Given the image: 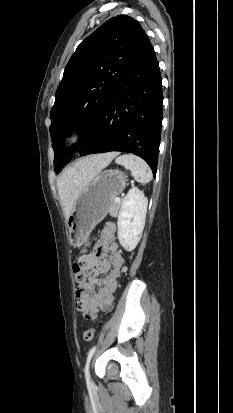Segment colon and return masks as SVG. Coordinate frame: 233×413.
Masks as SVG:
<instances>
[{"mask_svg": "<svg viewBox=\"0 0 233 413\" xmlns=\"http://www.w3.org/2000/svg\"><path fill=\"white\" fill-rule=\"evenodd\" d=\"M87 248H88V245L85 247V249ZM74 273H75V280L77 283L83 284L88 280L87 269H85L80 262H77L74 264ZM95 335H96V328L91 327L84 331L83 339L86 342H90L94 339Z\"/></svg>", "mask_w": 233, "mask_h": 413, "instance_id": "1", "label": "colon"}]
</instances>
